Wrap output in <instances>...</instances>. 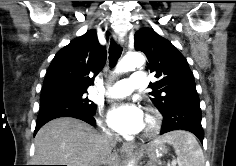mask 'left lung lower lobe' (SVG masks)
<instances>
[{
    "instance_id": "0a47b994",
    "label": "left lung lower lobe",
    "mask_w": 236,
    "mask_h": 166,
    "mask_svg": "<svg viewBox=\"0 0 236 166\" xmlns=\"http://www.w3.org/2000/svg\"><path fill=\"white\" fill-rule=\"evenodd\" d=\"M164 117L161 134L173 130H187L195 134L203 144L204 131L201 126L202 112L199 99H191L183 108L161 113Z\"/></svg>"
}]
</instances>
